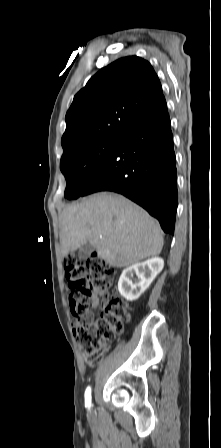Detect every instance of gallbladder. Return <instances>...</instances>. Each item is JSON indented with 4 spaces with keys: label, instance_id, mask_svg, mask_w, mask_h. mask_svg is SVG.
<instances>
[{
    "label": "gallbladder",
    "instance_id": "obj_1",
    "mask_svg": "<svg viewBox=\"0 0 221 448\" xmlns=\"http://www.w3.org/2000/svg\"><path fill=\"white\" fill-rule=\"evenodd\" d=\"M93 249L94 247L89 242L82 245L78 250L79 259H86L91 254Z\"/></svg>",
    "mask_w": 221,
    "mask_h": 448
}]
</instances>
